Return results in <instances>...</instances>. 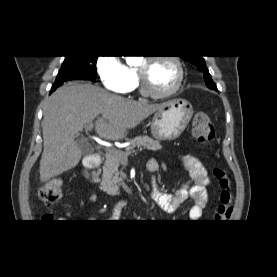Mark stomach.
I'll return each instance as SVG.
<instances>
[{"label":"stomach","instance_id":"0dacf381","mask_svg":"<svg viewBox=\"0 0 277 277\" xmlns=\"http://www.w3.org/2000/svg\"><path fill=\"white\" fill-rule=\"evenodd\" d=\"M192 105L181 98L162 104L155 112L151 123V134L156 140H175L185 130L193 116Z\"/></svg>","mask_w":277,"mask_h":277}]
</instances>
